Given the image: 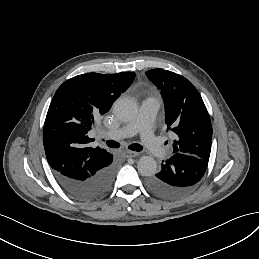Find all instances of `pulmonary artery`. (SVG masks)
Here are the masks:
<instances>
[{
    "instance_id": "e3ab8cb5",
    "label": "pulmonary artery",
    "mask_w": 259,
    "mask_h": 259,
    "mask_svg": "<svg viewBox=\"0 0 259 259\" xmlns=\"http://www.w3.org/2000/svg\"><path fill=\"white\" fill-rule=\"evenodd\" d=\"M162 98L159 95L144 99L135 116L122 122L121 127L117 130L100 132V136L111 139H120L133 134V128L136 123L148 125L154 118L162 105Z\"/></svg>"
}]
</instances>
